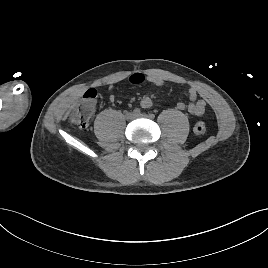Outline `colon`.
Instances as JSON below:
<instances>
[{
  "label": "colon",
  "instance_id": "obj_1",
  "mask_svg": "<svg viewBox=\"0 0 268 268\" xmlns=\"http://www.w3.org/2000/svg\"><path fill=\"white\" fill-rule=\"evenodd\" d=\"M97 103V92L89 89L83 96L81 103L69 112V120L80 129H86L90 126ZM194 132L202 135L206 132V125L203 121H198L194 125Z\"/></svg>",
  "mask_w": 268,
  "mask_h": 268
}]
</instances>
